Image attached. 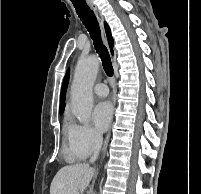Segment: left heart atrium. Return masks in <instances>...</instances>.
Wrapping results in <instances>:
<instances>
[{
  "instance_id": "1",
  "label": "left heart atrium",
  "mask_w": 201,
  "mask_h": 194,
  "mask_svg": "<svg viewBox=\"0 0 201 194\" xmlns=\"http://www.w3.org/2000/svg\"><path fill=\"white\" fill-rule=\"evenodd\" d=\"M113 108L112 105L107 101L98 103L93 110V122L96 128L103 132L105 131L112 119Z\"/></svg>"
}]
</instances>
